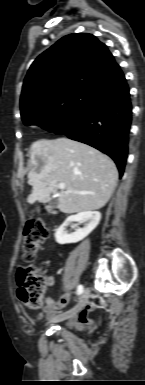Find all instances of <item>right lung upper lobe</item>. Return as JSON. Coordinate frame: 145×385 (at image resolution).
<instances>
[{"mask_svg":"<svg viewBox=\"0 0 145 385\" xmlns=\"http://www.w3.org/2000/svg\"><path fill=\"white\" fill-rule=\"evenodd\" d=\"M114 57L91 34H70L39 55L25 77L21 116L73 89L95 91L122 75Z\"/></svg>","mask_w":145,"mask_h":385,"instance_id":"cb5924a9","label":"right lung upper lobe"}]
</instances>
